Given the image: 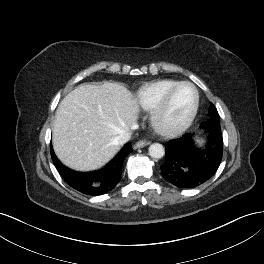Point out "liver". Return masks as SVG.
<instances>
[{
  "label": "liver",
  "mask_w": 264,
  "mask_h": 264,
  "mask_svg": "<svg viewBox=\"0 0 264 264\" xmlns=\"http://www.w3.org/2000/svg\"><path fill=\"white\" fill-rule=\"evenodd\" d=\"M138 100L122 84H85L59 104L53 125V147L67 167L100 168L120 150L115 138L137 121Z\"/></svg>",
  "instance_id": "liver-1"
}]
</instances>
